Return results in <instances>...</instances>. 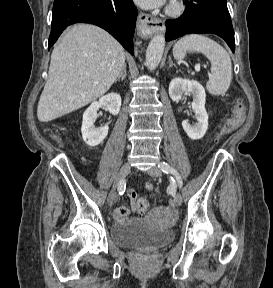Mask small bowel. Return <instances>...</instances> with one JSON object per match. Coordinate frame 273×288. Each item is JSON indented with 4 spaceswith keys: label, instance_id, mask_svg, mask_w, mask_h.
Masks as SVG:
<instances>
[{
    "label": "small bowel",
    "instance_id": "c3829d8e",
    "mask_svg": "<svg viewBox=\"0 0 273 288\" xmlns=\"http://www.w3.org/2000/svg\"><path fill=\"white\" fill-rule=\"evenodd\" d=\"M127 196L131 201L132 209L135 210L134 204H135V201L137 200V195H136L135 190L132 188H129L127 190ZM129 215H130V209L127 206H119V207L115 208V210L113 212V216H114L115 220H117V221H124L129 217Z\"/></svg>",
    "mask_w": 273,
    "mask_h": 288
}]
</instances>
